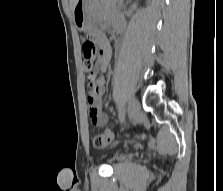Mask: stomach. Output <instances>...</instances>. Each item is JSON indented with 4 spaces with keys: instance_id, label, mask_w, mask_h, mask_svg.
Segmentation results:
<instances>
[{
    "instance_id": "1",
    "label": "stomach",
    "mask_w": 223,
    "mask_h": 191,
    "mask_svg": "<svg viewBox=\"0 0 223 191\" xmlns=\"http://www.w3.org/2000/svg\"><path fill=\"white\" fill-rule=\"evenodd\" d=\"M90 0H78L73 11L74 22L79 30L88 32L92 28V20L88 12Z\"/></svg>"
}]
</instances>
